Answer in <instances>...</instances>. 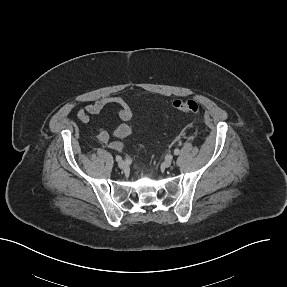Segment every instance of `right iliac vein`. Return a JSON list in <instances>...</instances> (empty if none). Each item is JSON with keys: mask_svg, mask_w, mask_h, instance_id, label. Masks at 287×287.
I'll use <instances>...</instances> for the list:
<instances>
[{"mask_svg": "<svg viewBox=\"0 0 287 287\" xmlns=\"http://www.w3.org/2000/svg\"><path fill=\"white\" fill-rule=\"evenodd\" d=\"M118 166H119V168H121L123 170L128 168V164L123 160L119 161Z\"/></svg>", "mask_w": 287, "mask_h": 287, "instance_id": "1", "label": "right iliac vein"}]
</instances>
